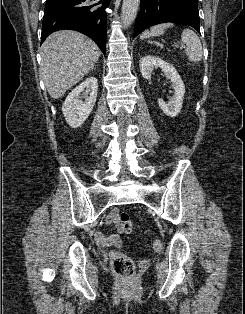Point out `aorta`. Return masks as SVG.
<instances>
[{"label":"aorta","instance_id":"aorta-1","mask_svg":"<svg viewBox=\"0 0 245 314\" xmlns=\"http://www.w3.org/2000/svg\"><path fill=\"white\" fill-rule=\"evenodd\" d=\"M140 0H123L121 21L124 28L129 27L136 18Z\"/></svg>","mask_w":245,"mask_h":314}]
</instances>
